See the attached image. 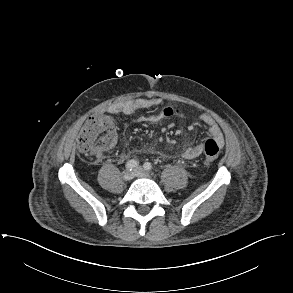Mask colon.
<instances>
[{"instance_id": "colon-1", "label": "colon", "mask_w": 293, "mask_h": 293, "mask_svg": "<svg viewBox=\"0 0 293 293\" xmlns=\"http://www.w3.org/2000/svg\"><path fill=\"white\" fill-rule=\"evenodd\" d=\"M165 112L169 115L173 113L172 108H167ZM116 140V129L113 118L106 113L91 115L85 122L78 140L77 150L79 153L97 158L101 150L110 147ZM204 161L210 163L215 161L221 152V147L214 139H209L204 145Z\"/></svg>"}]
</instances>
